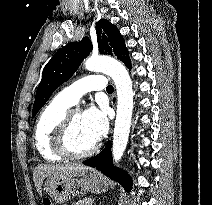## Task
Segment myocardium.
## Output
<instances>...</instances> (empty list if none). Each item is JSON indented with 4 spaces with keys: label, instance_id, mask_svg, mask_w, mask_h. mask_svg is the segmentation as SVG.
<instances>
[{
    "label": "myocardium",
    "instance_id": "f54148a6",
    "mask_svg": "<svg viewBox=\"0 0 212 205\" xmlns=\"http://www.w3.org/2000/svg\"><path fill=\"white\" fill-rule=\"evenodd\" d=\"M72 112L65 114L53 134V146L55 151L64 158L68 159H81L88 157L96 152L98 143L95 142L87 150L77 152L74 151L69 144V132L71 126Z\"/></svg>",
    "mask_w": 212,
    "mask_h": 205
}]
</instances>
